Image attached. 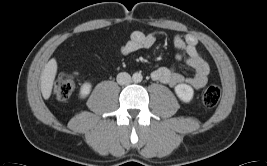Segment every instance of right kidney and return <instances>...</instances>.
Here are the masks:
<instances>
[{
	"mask_svg": "<svg viewBox=\"0 0 267 166\" xmlns=\"http://www.w3.org/2000/svg\"><path fill=\"white\" fill-rule=\"evenodd\" d=\"M91 83L85 82L80 88V98H85L91 91Z\"/></svg>",
	"mask_w": 267,
	"mask_h": 166,
	"instance_id": "right-kidney-1",
	"label": "right kidney"
}]
</instances>
